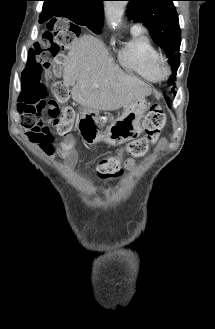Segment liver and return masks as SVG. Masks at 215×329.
Masks as SVG:
<instances>
[{"label": "liver", "mask_w": 215, "mask_h": 329, "mask_svg": "<svg viewBox=\"0 0 215 329\" xmlns=\"http://www.w3.org/2000/svg\"><path fill=\"white\" fill-rule=\"evenodd\" d=\"M63 81L72 86V99L95 111H112L150 96L152 89L123 72L103 43L84 35L75 39L65 59Z\"/></svg>", "instance_id": "1"}]
</instances>
